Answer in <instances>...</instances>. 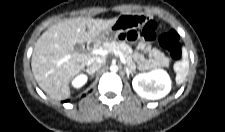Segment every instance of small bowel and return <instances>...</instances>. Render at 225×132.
Here are the masks:
<instances>
[{
	"mask_svg": "<svg viewBox=\"0 0 225 132\" xmlns=\"http://www.w3.org/2000/svg\"><path fill=\"white\" fill-rule=\"evenodd\" d=\"M141 20V17L133 16L129 17L128 22L131 26H135L138 25ZM134 60L141 70L157 69L167 64V59L160 50L145 43L137 45Z\"/></svg>",
	"mask_w": 225,
	"mask_h": 132,
	"instance_id": "c3829d8e",
	"label": "small bowel"
}]
</instances>
